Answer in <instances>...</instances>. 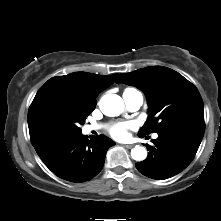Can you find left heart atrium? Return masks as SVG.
I'll return each mask as SVG.
<instances>
[{
    "label": "left heart atrium",
    "instance_id": "1",
    "mask_svg": "<svg viewBox=\"0 0 221 221\" xmlns=\"http://www.w3.org/2000/svg\"><path fill=\"white\" fill-rule=\"evenodd\" d=\"M135 128L134 122H120L112 125L109 133L116 139L122 140L128 137V130Z\"/></svg>",
    "mask_w": 221,
    "mask_h": 221
}]
</instances>
